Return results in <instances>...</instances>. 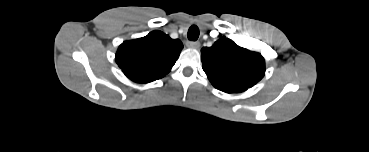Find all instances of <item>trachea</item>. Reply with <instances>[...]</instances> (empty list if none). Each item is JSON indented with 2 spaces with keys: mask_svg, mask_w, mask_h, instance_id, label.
Returning a JSON list of instances; mask_svg holds the SVG:
<instances>
[{
  "mask_svg": "<svg viewBox=\"0 0 369 152\" xmlns=\"http://www.w3.org/2000/svg\"><path fill=\"white\" fill-rule=\"evenodd\" d=\"M188 39L191 41H196L199 37V28L196 25H192L188 30Z\"/></svg>",
  "mask_w": 369,
  "mask_h": 152,
  "instance_id": "obj_1",
  "label": "trachea"
}]
</instances>
